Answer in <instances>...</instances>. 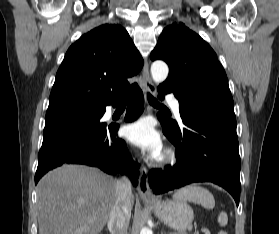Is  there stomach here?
<instances>
[{"label": "stomach", "instance_id": "stomach-1", "mask_svg": "<svg viewBox=\"0 0 279 234\" xmlns=\"http://www.w3.org/2000/svg\"><path fill=\"white\" fill-rule=\"evenodd\" d=\"M145 203L163 223L179 233H183L193 221V210L185 201L173 199Z\"/></svg>", "mask_w": 279, "mask_h": 234}]
</instances>
